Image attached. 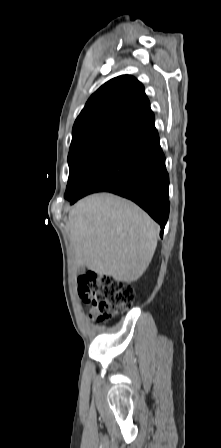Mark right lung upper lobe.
<instances>
[{
	"instance_id": "right-lung-upper-lobe-1",
	"label": "right lung upper lobe",
	"mask_w": 221,
	"mask_h": 448,
	"mask_svg": "<svg viewBox=\"0 0 221 448\" xmlns=\"http://www.w3.org/2000/svg\"><path fill=\"white\" fill-rule=\"evenodd\" d=\"M154 120L143 85L122 75L102 85L77 117L70 150L94 143L117 144Z\"/></svg>"
}]
</instances>
